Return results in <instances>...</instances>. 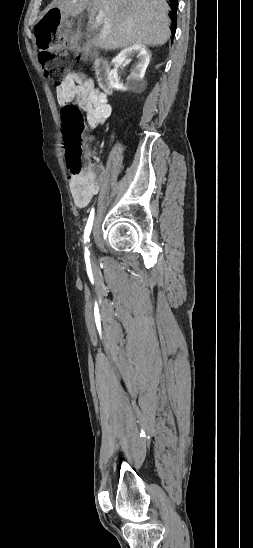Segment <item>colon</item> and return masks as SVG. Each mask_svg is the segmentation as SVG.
Returning a JSON list of instances; mask_svg holds the SVG:
<instances>
[{"label": "colon", "instance_id": "1", "mask_svg": "<svg viewBox=\"0 0 253 548\" xmlns=\"http://www.w3.org/2000/svg\"><path fill=\"white\" fill-rule=\"evenodd\" d=\"M35 34L40 51V61L44 75L60 86L67 73V64L61 60L64 56L65 28L62 26V14L59 10H50L36 25ZM84 57H91L92 50L85 48ZM64 121L65 156L70 177L81 175L90 165L84 164L83 133L84 117L80 107L69 104L62 109Z\"/></svg>", "mask_w": 253, "mask_h": 548}]
</instances>
